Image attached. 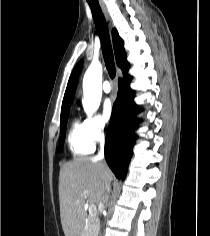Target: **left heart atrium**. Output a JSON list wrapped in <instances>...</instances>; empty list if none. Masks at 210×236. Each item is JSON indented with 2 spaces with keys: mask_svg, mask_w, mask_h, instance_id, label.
I'll return each instance as SVG.
<instances>
[{
  "mask_svg": "<svg viewBox=\"0 0 210 236\" xmlns=\"http://www.w3.org/2000/svg\"><path fill=\"white\" fill-rule=\"evenodd\" d=\"M113 115V103L110 99H106L102 105V117L105 122L110 121Z\"/></svg>",
  "mask_w": 210,
  "mask_h": 236,
  "instance_id": "39dd6f15",
  "label": "left heart atrium"
}]
</instances>
